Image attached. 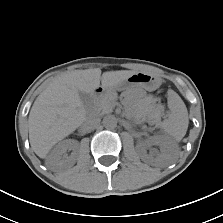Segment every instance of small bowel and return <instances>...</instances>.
Returning a JSON list of instances; mask_svg holds the SVG:
<instances>
[{
	"label": "small bowel",
	"instance_id": "c3829d8e",
	"mask_svg": "<svg viewBox=\"0 0 223 223\" xmlns=\"http://www.w3.org/2000/svg\"><path fill=\"white\" fill-rule=\"evenodd\" d=\"M144 101L147 107L151 108L152 118L158 119L159 114H160V107L156 104L155 97L152 95H149L144 99Z\"/></svg>",
	"mask_w": 223,
	"mask_h": 223
}]
</instances>
